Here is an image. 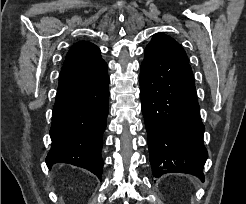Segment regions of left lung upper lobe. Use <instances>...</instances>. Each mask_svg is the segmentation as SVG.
Segmentation results:
<instances>
[{
  "label": "left lung upper lobe",
  "mask_w": 246,
  "mask_h": 204,
  "mask_svg": "<svg viewBox=\"0 0 246 204\" xmlns=\"http://www.w3.org/2000/svg\"><path fill=\"white\" fill-rule=\"evenodd\" d=\"M147 47H155L173 57L188 61L187 55L181 45L167 35L161 33L155 34Z\"/></svg>",
  "instance_id": "left-lung-upper-lobe-1"
}]
</instances>
